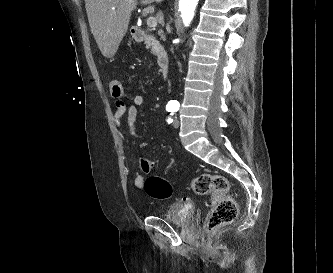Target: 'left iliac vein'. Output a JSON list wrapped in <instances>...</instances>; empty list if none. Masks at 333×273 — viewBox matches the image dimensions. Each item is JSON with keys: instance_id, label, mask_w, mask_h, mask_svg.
Here are the masks:
<instances>
[{"instance_id": "left-iliac-vein-1", "label": "left iliac vein", "mask_w": 333, "mask_h": 273, "mask_svg": "<svg viewBox=\"0 0 333 273\" xmlns=\"http://www.w3.org/2000/svg\"><path fill=\"white\" fill-rule=\"evenodd\" d=\"M173 126H174L175 128H178V127L180 126V122H179L178 119H175V120L173 121Z\"/></svg>"}]
</instances>
